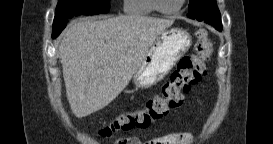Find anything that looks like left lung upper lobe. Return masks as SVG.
Segmentation results:
<instances>
[{"label": "left lung upper lobe", "instance_id": "5c2ea615", "mask_svg": "<svg viewBox=\"0 0 273 144\" xmlns=\"http://www.w3.org/2000/svg\"><path fill=\"white\" fill-rule=\"evenodd\" d=\"M212 9L218 10L216 0H190L188 17L196 19L203 12Z\"/></svg>", "mask_w": 273, "mask_h": 144}]
</instances>
